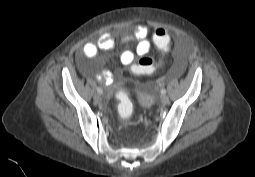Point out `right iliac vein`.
Returning a JSON list of instances; mask_svg holds the SVG:
<instances>
[{
	"instance_id": "1",
	"label": "right iliac vein",
	"mask_w": 255,
	"mask_h": 177,
	"mask_svg": "<svg viewBox=\"0 0 255 177\" xmlns=\"http://www.w3.org/2000/svg\"><path fill=\"white\" fill-rule=\"evenodd\" d=\"M94 100H95L96 102H99V100H100V95H99L98 93L94 95Z\"/></svg>"
}]
</instances>
